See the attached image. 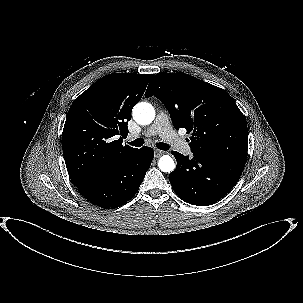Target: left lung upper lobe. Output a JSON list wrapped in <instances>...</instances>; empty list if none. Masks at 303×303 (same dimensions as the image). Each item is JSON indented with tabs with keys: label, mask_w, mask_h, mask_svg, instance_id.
Wrapping results in <instances>:
<instances>
[{
	"label": "left lung upper lobe",
	"mask_w": 303,
	"mask_h": 303,
	"mask_svg": "<svg viewBox=\"0 0 303 303\" xmlns=\"http://www.w3.org/2000/svg\"><path fill=\"white\" fill-rule=\"evenodd\" d=\"M153 95L176 129L191 132L192 152L247 158L246 118L225 90L183 72L158 73L145 93Z\"/></svg>",
	"instance_id": "obj_1"
}]
</instances>
